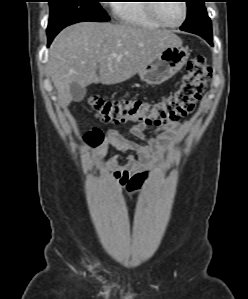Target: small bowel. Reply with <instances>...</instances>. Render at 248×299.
I'll return each mask as SVG.
<instances>
[{
    "instance_id": "c3829d8e",
    "label": "small bowel",
    "mask_w": 248,
    "mask_h": 299,
    "mask_svg": "<svg viewBox=\"0 0 248 299\" xmlns=\"http://www.w3.org/2000/svg\"><path fill=\"white\" fill-rule=\"evenodd\" d=\"M190 123L168 122L160 127L153 128L146 123H135L131 126L130 132L136 138L145 140L146 145L141 146L136 142L124 137L115 129H109L103 134L99 129H93L84 135L85 143L93 148V153L98 159H102L109 148L121 152H130L138 155L141 161L131 157L127 166L118 165L117 158L108 159L109 172L120 187L124 186L128 174L142 164L153 165L162 161L166 154L173 150L174 145L184 134ZM106 175L107 172H101Z\"/></svg>"
}]
</instances>
